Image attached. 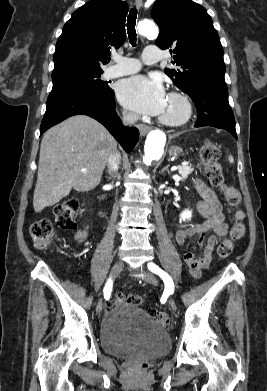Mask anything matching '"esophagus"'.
Masks as SVG:
<instances>
[{"label": "esophagus", "instance_id": "obj_1", "mask_svg": "<svg viewBox=\"0 0 267 391\" xmlns=\"http://www.w3.org/2000/svg\"><path fill=\"white\" fill-rule=\"evenodd\" d=\"M136 4L138 7H140L142 5V0H135ZM139 128V132H140V135L144 136L145 134H147V132L150 131L151 127L150 126H147V125H143V124H140L138 126Z\"/></svg>", "mask_w": 267, "mask_h": 391}]
</instances>
